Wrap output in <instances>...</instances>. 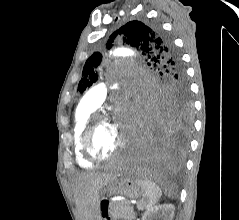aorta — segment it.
I'll return each instance as SVG.
<instances>
[{
  "mask_svg": "<svg viewBox=\"0 0 239 220\" xmlns=\"http://www.w3.org/2000/svg\"><path fill=\"white\" fill-rule=\"evenodd\" d=\"M114 55H121L123 54L122 50L117 48L115 49V51L113 52ZM127 55H130V52H127ZM126 60H130V57H126Z\"/></svg>",
  "mask_w": 239,
  "mask_h": 220,
  "instance_id": "obj_1",
  "label": "aorta"
}]
</instances>
